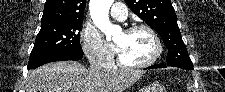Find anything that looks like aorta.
Masks as SVG:
<instances>
[{"instance_id":"762f6f07","label":"aorta","mask_w":225,"mask_h":92,"mask_svg":"<svg viewBox=\"0 0 225 92\" xmlns=\"http://www.w3.org/2000/svg\"><path fill=\"white\" fill-rule=\"evenodd\" d=\"M114 0H90L89 11L93 23L100 29L107 39L120 30L116 25H113L109 20V9Z\"/></svg>"}]
</instances>
